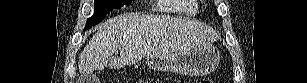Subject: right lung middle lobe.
I'll return each instance as SVG.
<instances>
[{
    "label": "right lung middle lobe",
    "mask_w": 307,
    "mask_h": 83,
    "mask_svg": "<svg viewBox=\"0 0 307 83\" xmlns=\"http://www.w3.org/2000/svg\"><path fill=\"white\" fill-rule=\"evenodd\" d=\"M131 2L132 0H95V14L87 20L85 29L100 22L110 10L118 9Z\"/></svg>",
    "instance_id": "right-lung-middle-lobe-1"
}]
</instances>
